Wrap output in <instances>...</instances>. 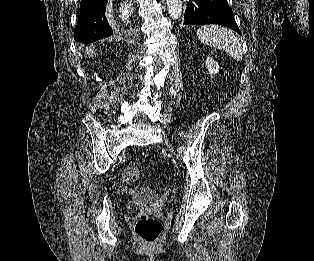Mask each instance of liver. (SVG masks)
<instances>
[{"label":"liver","mask_w":314,"mask_h":261,"mask_svg":"<svg viewBox=\"0 0 314 261\" xmlns=\"http://www.w3.org/2000/svg\"><path fill=\"white\" fill-rule=\"evenodd\" d=\"M86 53L88 54V55H93L94 54V47H87L86 48Z\"/></svg>","instance_id":"6515ba94"}]
</instances>
